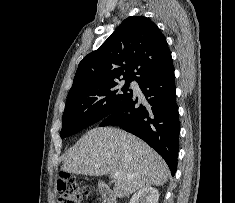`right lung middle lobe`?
<instances>
[{"label": "right lung middle lobe", "instance_id": "dd1d6c3e", "mask_svg": "<svg viewBox=\"0 0 235 203\" xmlns=\"http://www.w3.org/2000/svg\"><path fill=\"white\" fill-rule=\"evenodd\" d=\"M130 82L125 80L124 85L117 80L101 82L69 93L63 113L61 138L73 135L117 110L133 95L129 89Z\"/></svg>", "mask_w": 235, "mask_h": 203}]
</instances>
